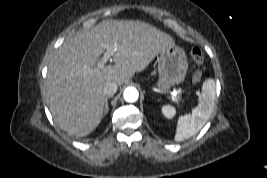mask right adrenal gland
Masks as SVG:
<instances>
[{
    "instance_id": "obj_1",
    "label": "right adrenal gland",
    "mask_w": 267,
    "mask_h": 178,
    "mask_svg": "<svg viewBox=\"0 0 267 178\" xmlns=\"http://www.w3.org/2000/svg\"><path fill=\"white\" fill-rule=\"evenodd\" d=\"M108 99H109V97H106V98H105L104 114H107V112H108V110H109Z\"/></svg>"
}]
</instances>
